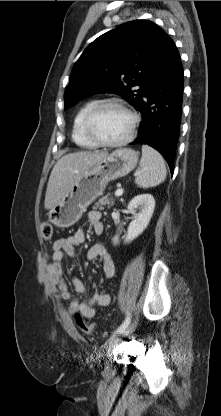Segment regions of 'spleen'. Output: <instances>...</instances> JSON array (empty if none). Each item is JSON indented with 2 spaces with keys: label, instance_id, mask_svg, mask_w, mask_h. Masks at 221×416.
Listing matches in <instances>:
<instances>
[{
  "label": "spleen",
  "instance_id": "spleen-1",
  "mask_svg": "<svg viewBox=\"0 0 221 416\" xmlns=\"http://www.w3.org/2000/svg\"><path fill=\"white\" fill-rule=\"evenodd\" d=\"M141 171L136 175L135 183L141 188L154 187L166 179V166L161 154L154 148L143 145L140 160Z\"/></svg>",
  "mask_w": 221,
  "mask_h": 416
}]
</instances>
